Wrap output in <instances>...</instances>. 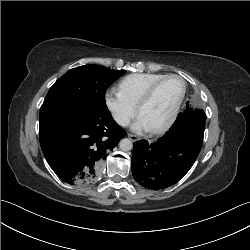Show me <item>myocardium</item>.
<instances>
[{
	"label": "myocardium",
	"instance_id": "f54148a6",
	"mask_svg": "<svg viewBox=\"0 0 250 250\" xmlns=\"http://www.w3.org/2000/svg\"><path fill=\"white\" fill-rule=\"evenodd\" d=\"M170 78H176V79L180 80L182 83V90H181L179 98H178L169 118L163 124H161L155 128L149 129L150 133H152V134H160V133L167 131L175 122V120L180 112V108H181V105L183 103V100H184V97L186 94V82L180 75L166 74V75L162 76L161 78L157 79L156 81H154L147 88V90L145 91V93L143 94V96L141 97V99L139 100V102L137 104V113H138V115H140L144 106L152 99L158 86L162 82H164L165 80L170 79Z\"/></svg>",
	"mask_w": 250,
	"mask_h": 250
}]
</instances>
